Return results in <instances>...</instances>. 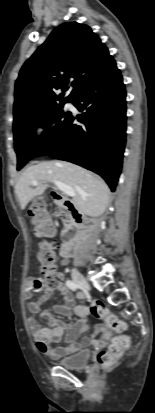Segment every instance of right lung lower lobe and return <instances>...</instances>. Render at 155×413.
I'll list each match as a JSON object with an SVG mask.
<instances>
[{
	"label": "right lung lower lobe",
	"mask_w": 155,
	"mask_h": 413,
	"mask_svg": "<svg viewBox=\"0 0 155 413\" xmlns=\"http://www.w3.org/2000/svg\"><path fill=\"white\" fill-rule=\"evenodd\" d=\"M125 97L122 76L115 67L78 93L72 103L85 113L71 115L63 131L41 155L87 168L101 175L115 191L126 140Z\"/></svg>",
	"instance_id": "right-lung-lower-lobe-1"
}]
</instances>
